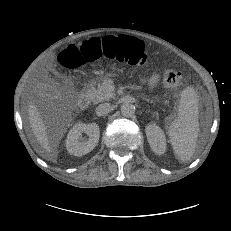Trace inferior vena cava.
I'll list each match as a JSON object with an SVG mask.
<instances>
[{
	"instance_id": "inferior-vena-cava-1",
	"label": "inferior vena cava",
	"mask_w": 231,
	"mask_h": 231,
	"mask_svg": "<svg viewBox=\"0 0 231 231\" xmlns=\"http://www.w3.org/2000/svg\"><path fill=\"white\" fill-rule=\"evenodd\" d=\"M110 108H111V106H110L109 103L100 104V105H98V106L96 107V114H97L98 116H104V115H106V114L109 113Z\"/></svg>"
}]
</instances>
